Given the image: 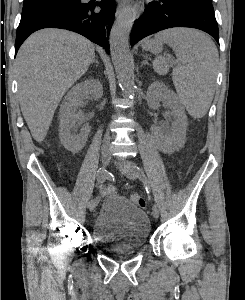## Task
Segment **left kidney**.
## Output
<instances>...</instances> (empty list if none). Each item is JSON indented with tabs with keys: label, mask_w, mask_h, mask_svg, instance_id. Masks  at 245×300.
Here are the masks:
<instances>
[{
	"label": "left kidney",
	"mask_w": 245,
	"mask_h": 300,
	"mask_svg": "<svg viewBox=\"0 0 245 300\" xmlns=\"http://www.w3.org/2000/svg\"><path fill=\"white\" fill-rule=\"evenodd\" d=\"M147 102L151 109H158L160 102L166 105L173 116L172 128L164 126L156 128L158 144L168 152H172L182 145L186 135L187 116L185 109L177 95L163 83L156 81L147 91Z\"/></svg>",
	"instance_id": "obj_1"
}]
</instances>
